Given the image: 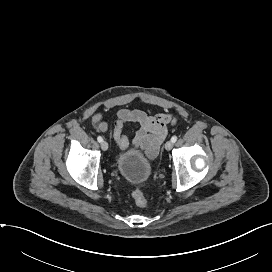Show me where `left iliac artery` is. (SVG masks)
Segmentation results:
<instances>
[{"mask_svg":"<svg viewBox=\"0 0 272 272\" xmlns=\"http://www.w3.org/2000/svg\"><path fill=\"white\" fill-rule=\"evenodd\" d=\"M171 141L173 142V143H175L176 141H177V136H172V138H171Z\"/></svg>","mask_w":272,"mask_h":272,"instance_id":"1","label":"left iliac artery"}]
</instances>
